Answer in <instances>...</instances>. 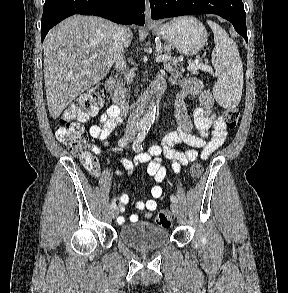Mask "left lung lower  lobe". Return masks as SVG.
<instances>
[{
  "label": "left lung lower lobe",
  "mask_w": 288,
  "mask_h": 293,
  "mask_svg": "<svg viewBox=\"0 0 288 293\" xmlns=\"http://www.w3.org/2000/svg\"><path fill=\"white\" fill-rule=\"evenodd\" d=\"M151 18L190 14H217L230 21L248 42L244 5L241 0H150Z\"/></svg>",
  "instance_id": "left-lung-lower-lobe-1"
}]
</instances>
